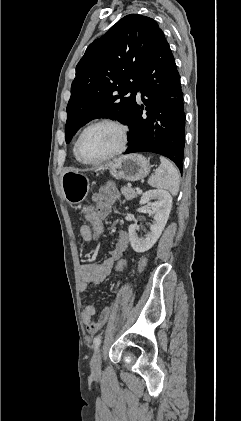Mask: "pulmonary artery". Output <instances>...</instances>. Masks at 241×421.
I'll list each match as a JSON object with an SVG mask.
<instances>
[{
  "label": "pulmonary artery",
  "mask_w": 241,
  "mask_h": 421,
  "mask_svg": "<svg viewBox=\"0 0 241 421\" xmlns=\"http://www.w3.org/2000/svg\"><path fill=\"white\" fill-rule=\"evenodd\" d=\"M137 94H138V96H140V95H141V91H138V93H137Z\"/></svg>",
  "instance_id": "pulmonary-artery-1"
}]
</instances>
